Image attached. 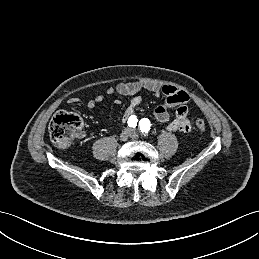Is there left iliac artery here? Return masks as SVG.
Returning a JSON list of instances; mask_svg holds the SVG:
<instances>
[{
    "label": "left iliac artery",
    "instance_id": "obj_1",
    "mask_svg": "<svg viewBox=\"0 0 259 259\" xmlns=\"http://www.w3.org/2000/svg\"><path fill=\"white\" fill-rule=\"evenodd\" d=\"M139 125H140L141 132L146 136L151 126L149 119L147 118L141 119L139 122Z\"/></svg>",
    "mask_w": 259,
    "mask_h": 259
}]
</instances>
